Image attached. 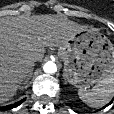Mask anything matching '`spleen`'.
<instances>
[{"mask_svg":"<svg viewBox=\"0 0 114 114\" xmlns=\"http://www.w3.org/2000/svg\"><path fill=\"white\" fill-rule=\"evenodd\" d=\"M78 95L90 107H102L109 103L114 95V71L101 79L91 90L80 88Z\"/></svg>","mask_w":114,"mask_h":114,"instance_id":"3e777b00","label":"spleen"}]
</instances>
